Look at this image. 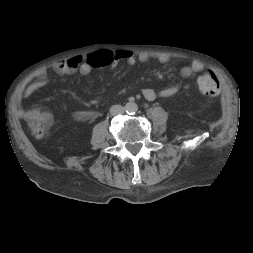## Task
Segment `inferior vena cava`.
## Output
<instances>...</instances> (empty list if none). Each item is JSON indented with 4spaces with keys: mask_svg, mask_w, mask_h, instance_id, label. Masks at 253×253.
Wrapping results in <instances>:
<instances>
[{
    "mask_svg": "<svg viewBox=\"0 0 253 253\" xmlns=\"http://www.w3.org/2000/svg\"><path fill=\"white\" fill-rule=\"evenodd\" d=\"M124 112H125V109L121 105H113L110 108L111 115H119V114H123Z\"/></svg>",
    "mask_w": 253,
    "mask_h": 253,
    "instance_id": "inferior-vena-cava-1",
    "label": "inferior vena cava"
}]
</instances>
